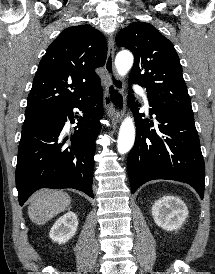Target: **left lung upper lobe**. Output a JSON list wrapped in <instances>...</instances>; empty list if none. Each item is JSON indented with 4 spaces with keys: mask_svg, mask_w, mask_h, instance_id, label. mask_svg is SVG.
Here are the masks:
<instances>
[{
    "mask_svg": "<svg viewBox=\"0 0 215 274\" xmlns=\"http://www.w3.org/2000/svg\"><path fill=\"white\" fill-rule=\"evenodd\" d=\"M116 43L134 54L130 83L141 85L162 101L192 109L176 50L154 26L131 23L118 33Z\"/></svg>",
    "mask_w": 215,
    "mask_h": 274,
    "instance_id": "1",
    "label": "left lung upper lobe"
}]
</instances>
